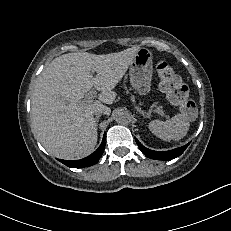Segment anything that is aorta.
<instances>
[{
  "mask_svg": "<svg viewBox=\"0 0 231 231\" xmlns=\"http://www.w3.org/2000/svg\"><path fill=\"white\" fill-rule=\"evenodd\" d=\"M115 120L120 125H128L131 122V116L126 111H120L116 114Z\"/></svg>",
  "mask_w": 231,
  "mask_h": 231,
  "instance_id": "762f6f07",
  "label": "aorta"
}]
</instances>
